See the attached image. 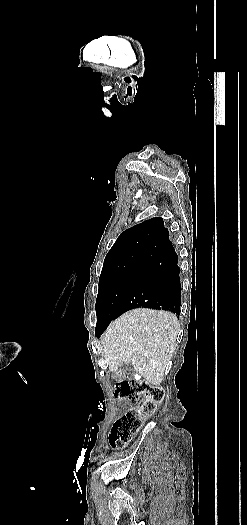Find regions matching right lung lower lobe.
Masks as SVG:
<instances>
[{
  "label": "right lung lower lobe",
  "mask_w": 247,
  "mask_h": 525,
  "mask_svg": "<svg viewBox=\"0 0 247 525\" xmlns=\"http://www.w3.org/2000/svg\"><path fill=\"white\" fill-rule=\"evenodd\" d=\"M178 256L172 245L154 256L152 263L135 282L130 292L121 302L117 314L135 309L151 308L180 314L181 285L179 279ZM107 327L96 326L98 337Z\"/></svg>",
  "instance_id": "1"
}]
</instances>
